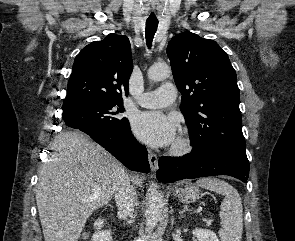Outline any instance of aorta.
Wrapping results in <instances>:
<instances>
[{
	"instance_id": "obj_1",
	"label": "aorta",
	"mask_w": 295,
	"mask_h": 241,
	"mask_svg": "<svg viewBox=\"0 0 295 241\" xmlns=\"http://www.w3.org/2000/svg\"><path fill=\"white\" fill-rule=\"evenodd\" d=\"M171 73L170 67L165 63L151 66L148 69V78L157 82L166 79ZM164 200L162 193L155 184L150 189L148 206L146 210V226L148 230H153L157 225L163 210Z\"/></svg>"
}]
</instances>
